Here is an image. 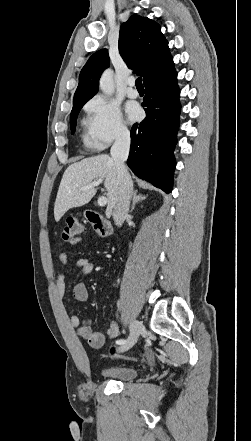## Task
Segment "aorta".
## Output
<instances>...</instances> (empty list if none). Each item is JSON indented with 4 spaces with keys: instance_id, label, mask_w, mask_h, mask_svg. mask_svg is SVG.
Returning a JSON list of instances; mask_svg holds the SVG:
<instances>
[{
    "instance_id": "1",
    "label": "aorta",
    "mask_w": 251,
    "mask_h": 441,
    "mask_svg": "<svg viewBox=\"0 0 251 441\" xmlns=\"http://www.w3.org/2000/svg\"><path fill=\"white\" fill-rule=\"evenodd\" d=\"M100 89L105 95H112L115 91L113 72L111 70H106L103 72L100 78Z\"/></svg>"
}]
</instances>
